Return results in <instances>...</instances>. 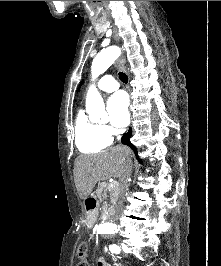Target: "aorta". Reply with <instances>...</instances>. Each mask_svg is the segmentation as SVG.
<instances>
[{"label": "aorta", "mask_w": 221, "mask_h": 266, "mask_svg": "<svg viewBox=\"0 0 221 266\" xmlns=\"http://www.w3.org/2000/svg\"><path fill=\"white\" fill-rule=\"evenodd\" d=\"M119 55L120 49L116 46H110L101 50L92 61V79L94 80L100 74L104 73L115 62ZM86 110L92 120L97 121L107 116L103 99L95 85H92L88 90L86 96ZM114 229V226L110 223H104L98 226V230L103 233H112Z\"/></svg>", "instance_id": "aorta-1"}]
</instances>
